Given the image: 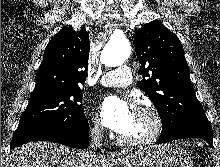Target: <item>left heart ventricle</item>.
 Wrapping results in <instances>:
<instances>
[{
	"label": "left heart ventricle",
	"instance_id": "b2bd125f",
	"mask_svg": "<svg viewBox=\"0 0 220 167\" xmlns=\"http://www.w3.org/2000/svg\"><path fill=\"white\" fill-rule=\"evenodd\" d=\"M152 128V120L149 115L135 111L130 127L121 135L129 139L144 137Z\"/></svg>",
	"mask_w": 220,
	"mask_h": 167
}]
</instances>
